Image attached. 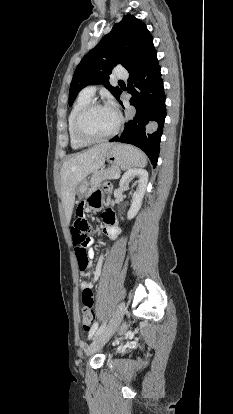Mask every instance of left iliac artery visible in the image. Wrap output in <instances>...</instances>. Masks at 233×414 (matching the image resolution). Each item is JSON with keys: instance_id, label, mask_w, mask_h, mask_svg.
Wrapping results in <instances>:
<instances>
[{"instance_id": "1", "label": "left iliac artery", "mask_w": 233, "mask_h": 414, "mask_svg": "<svg viewBox=\"0 0 233 414\" xmlns=\"http://www.w3.org/2000/svg\"><path fill=\"white\" fill-rule=\"evenodd\" d=\"M97 323L95 324V328L97 329ZM105 326H106V323H104L103 325H101L98 329H97V331H96V334H95V336H98L104 329H105ZM95 332V331H94Z\"/></svg>"}]
</instances>
